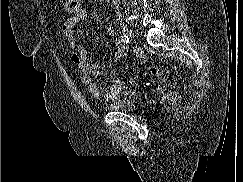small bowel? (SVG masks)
Returning <instances> with one entry per match:
<instances>
[{"instance_id":"small-bowel-1","label":"small bowel","mask_w":243,"mask_h":182,"mask_svg":"<svg viewBox=\"0 0 243 182\" xmlns=\"http://www.w3.org/2000/svg\"><path fill=\"white\" fill-rule=\"evenodd\" d=\"M87 17V11L84 8H79L78 11L69 17H67L61 26V30L69 47L72 51V61L78 67L81 73V81L87 86L89 92L99 101L111 102L118 99L120 93L123 91L124 86L121 81H116L106 91L101 90L97 84L93 81V77L98 76L101 72V65L99 63H92L88 60L87 51L84 47L77 44L76 37L74 35L75 27ZM108 32L113 33V28L108 27ZM117 50L115 53V63H120L127 55L128 48L122 42L116 43ZM135 56L143 60L144 53L141 49L135 50Z\"/></svg>"}]
</instances>
